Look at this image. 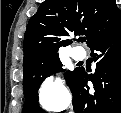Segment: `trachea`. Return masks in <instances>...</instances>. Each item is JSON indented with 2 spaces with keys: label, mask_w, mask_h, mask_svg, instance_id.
Masks as SVG:
<instances>
[{
  "label": "trachea",
  "mask_w": 121,
  "mask_h": 113,
  "mask_svg": "<svg viewBox=\"0 0 121 113\" xmlns=\"http://www.w3.org/2000/svg\"><path fill=\"white\" fill-rule=\"evenodd\" d=\"M80 41L81 42H85L86 41V38H82Z\"/></svg>",
  "instance_id": "obj_1"
}]
</instances>
